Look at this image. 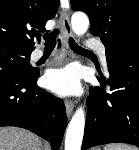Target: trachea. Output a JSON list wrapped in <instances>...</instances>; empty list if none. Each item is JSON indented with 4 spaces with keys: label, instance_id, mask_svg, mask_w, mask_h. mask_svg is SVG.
I'll use <instances>...</instances> for the list:
<instances>
[{
    "label": "trachea",
    "instance_id": "trachea-1",
    "mask_svg": "<svg viewBox=\"0 0 139 150\" xmlns=\"http://www.w3.org/2000/svg\"><path fill=\"white\" fill-rule=\"evenodd\" d=\"M59 33V30L55 29L54 32L45 34L44 40H45V49H54L56 45V35ZM69 45L71 49L75 52H82V53H91L90 51L86 50L85 48H82L76 42L73 40V38L70 37L69 39Z\"/></svg>",
    "mask_w": 139,
    "mask_h": 150
}]
</instances>
